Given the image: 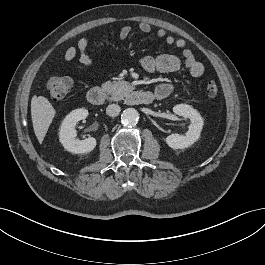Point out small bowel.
<instances>
[{
    "label": "small bowel",
    "instance_id": "c3829d8e",
    "mask_svg": "<svg viewBox=\"0 0 265 265\" xmlns=\"http://www.w3.org/2000/svg\"><path fill=\"white\" fill-rule=\"evenodd\" d=\"M139 31L143 34L151 32L150 24L142 22L139 24ZM132 29L130 26H123L119 32V39L125 40L130 36ZM157 36L165 41L169 46H175L180 50V55L162 54L157 57L144 56L140 59V65L146 72L153 73H172L178 71L184 66L189 74L193 78H199L204 73L203 64L198 61L193 52L187 47L186 42L183 39H176L169 35L166 30L159 29ZM88 40L85 37H81L75 45L70 46L65 52V59L67 61L73 60L79 55V61L75 65L76 69L84 70L89 69L93 66V61L87 54ZM172 85L170 83H159L157 84L152 93L158 100L164 99L169 96L172 92Z\"/></svg>",
    "mask_w": 265,
    "mask_h": 265
}]
</instances>
